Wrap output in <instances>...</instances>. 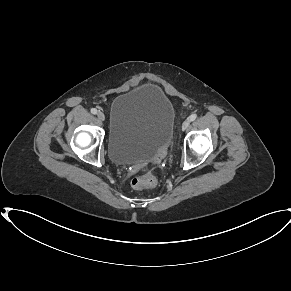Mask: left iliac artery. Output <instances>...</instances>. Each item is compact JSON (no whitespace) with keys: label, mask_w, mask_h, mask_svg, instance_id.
<instances>
[{"label":"left iliac artery","mask_w":291,"mask_h":291,"mask_svg":"<svg viewBox=\"0 0 291 291\" xmlns=\"http://www.w3.org/2000/svg\"><path fill=\"white\" fill-rule=\"evenodd\" d=\"M196 118H197V115H196V114H192V115L189 117V120H190V121H194Z\"/></svg>","instance_id":"obj_1"}]
</instances>
